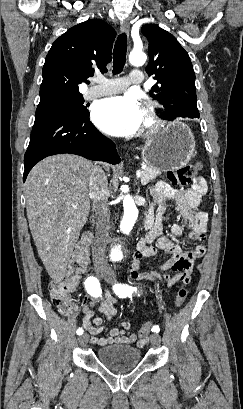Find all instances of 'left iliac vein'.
I'll return each instance as SVG.
<instances>
[{
    "mask_svg": "<svg viewBox=\"0 0 243 409\" xmlns=\"http://www.w3.org/2000/svg\"><path fill=\"white\" fill-rule=\"evenodd\" d=\"M105 280H106V282H107L108 284H110V285H113V284L116 283V278H115V275H113V274H108V275L105 277ZM150 342H151L152 345L158 346V345L160 344V342H161V337H160V335H159L158 333H153V334L150 336Z\"/></svg>",
    "mask_w": 243,
    "mask_h": 409,
    "instance_id": "1",
    "label": "left iliac vein"
}]
</instances>
